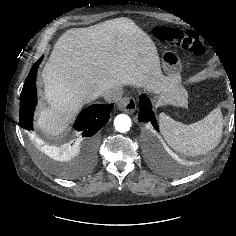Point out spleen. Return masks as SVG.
Segmentation results:
<instances>
[{
	"instance_id": "3e777b00",
	"label": "spleen",
	"mask_w": 236,
	"mask_h": 236,
	"mask_svg": "<svg viewBox=\"0 0 236 236\" xmlns=\"http://www.w3.org/2000/svg\"><path fill=\"white\" fill-rule=\"evenodd\" d=\"M159 126L165 141L175 151L188 156L205 155L220 143L222 112L216 108L202 120L189 125L160 113Z\"/></svg>"
}]
</instances>
